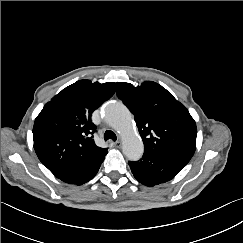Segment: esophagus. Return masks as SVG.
<instances>
[{
  "instance_id": "obj_1",
  "label": "esophagus",
  "mask_w": 243,
  "mask_h": 243,
  "mask_svg": "<svg viewBox=\"0 0 243 243\" xmlns=\"http://www.w3.org/2000/svg\"><path fill=\"white\" fill-rule=\"evenodd\" d=\"M114 146L117 147V148L121 147V142L120 141H116L114 143Z\"/></svg>"
}]
</instances>
